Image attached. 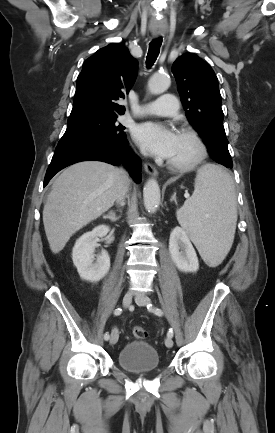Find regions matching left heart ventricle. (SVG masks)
<instances>
[{"instance_id":"1","label":"left heart ventricle","mask_w":275,"mask_h":433,"mask_svg":"<svg viewBox=\"0 0 275 433\" xmlns=\"http://www.w3.org/2000/svg\"><path fill=\"white\" fill-rule=\"evenodd\" d=\"M197 153L198 148L194 140L179 133L174 150L168 160L177 164H187L197 156Z\"/></svg>"}]
</instances>
